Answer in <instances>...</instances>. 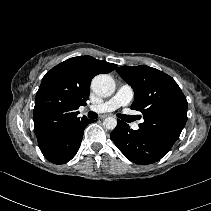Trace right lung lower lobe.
Masks as SVG:
<instances>
[{
    "mask_svg": "<svg viewBox=\"0 0 211 211\" xmlns=\"http://www.w3.org/2000/svg\"><path fill=\"white\" fill-rule=\"evenodd\" d=\"M91 122L93 121L83 118L39 143L44 157L54 164L70 161L79 150L85 127Z\"/></svg>",
    "mask_w": 211,
    "mask_h": 211,
    "instance_id": "1",
    "label": "right lung lower lobe"
}]
</instances>
